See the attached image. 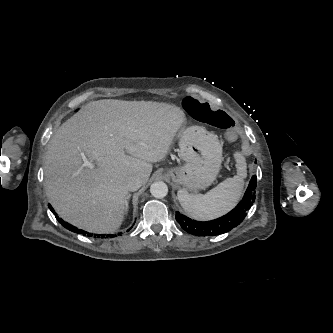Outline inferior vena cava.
Wrapping results in <instances>:
<instances>
[{
    "instance_id": "602c4592",
    "label": "inferior vena cava",
    "mask_w": 333,
    "mask_h": 333,
    "mask_svg": "<svg viewBox=\"0 0 333 333\" xmlns=\"http://www.w3.org/2000/svg\"><path fill=\"white\" fill-rule=\"evenodd\" d=\"M142 186V180L136 176H131L126 179L125 187L128 191H136Z\"/></svg>"
}]
</instances>
